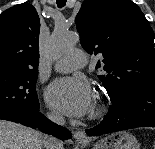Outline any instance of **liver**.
<instances>
[{
    "mask_svg": "<svg viewBox=\"0 0 155 149\" xmlns=\"http://www.w3.org/2000/svg\"><path fill=\"white\" fill-rule=\"evenodd\" d=\"M44 138L39 131L0 120V149H42Z\"/></svg>",
    "mask_w": 155,
    "mask_h": 149,
    "instance_id": "1",
    "label": "liver"
}]
</instances>
